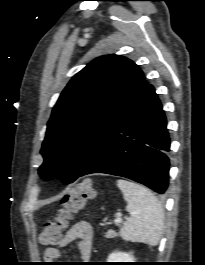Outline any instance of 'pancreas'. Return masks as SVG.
Instances as JSON below:
<instances>
[{
	"mask_svg": "<svg viewBox=\"0 0 205 265\" xmlns=\"http://www.w3.org/2000/svg\"><path fill=\"white\" fill-rule=\"evenodd\" d=\"M115 236H117V233L114 230H108L105 235L106 238H114Z\"/></svg>",
	"mask_w": 205,
	"mask_h": 265,
	"instance_id": "1",
	"label": "pancreas"
}]
</instances>
